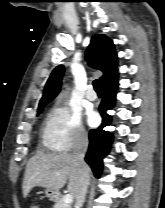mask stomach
Returning a JSON list of instances; mask_svg holds the SVG:
<instances>
[{
  "label": "stomach",
  "mask_w": 165,
  "mask_h": 208,
  "mask_svg": "<svg viewBox=\"0 0 165 208\" xmlns=\"http://www.w3.org/2000/svg\"><path fill=\"white\" fill-rule=\"evenodd\" d=\"M45 193L51 201H56L59 198V193L57 191L46 189Z\"/></svg>",
  "instance_id": "obj_1"
}]
</instances>
